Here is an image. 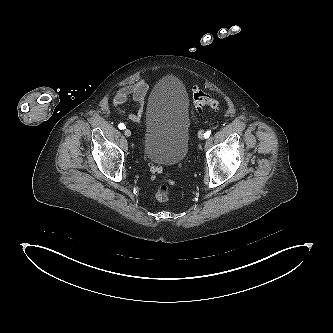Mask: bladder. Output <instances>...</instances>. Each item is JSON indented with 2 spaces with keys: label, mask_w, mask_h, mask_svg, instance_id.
Returning <instances> with one entry per match:
<instances>
[{
  "label": "bladder",
  "mask_w": 333,
  "mask_h": 333,
  "mask_svg": "<svg viewBox=\"0 0 333 333\" xmlns=\"http://www.w3.org/2000/svg\"><path fill=\"white\" fill-rule=\"evenodd\" d=\"M189 98L183 82L167 75L153 87L146 105L143 152L152 162L173 166L189 150Z\"/></svg>",
  "instance_id": "1"
}]
</instances>
